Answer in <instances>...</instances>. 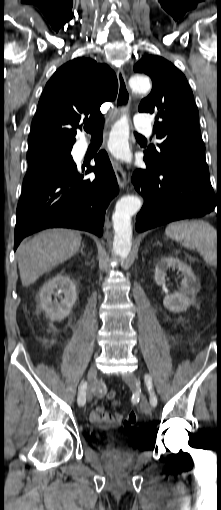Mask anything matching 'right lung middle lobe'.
Returning a JSON list of instances; mask_svg holds the SVG:
<instances>
[{
	"instance_id": "obj_1",
	"label": "right lung middle lobe",
	"mask_w": 221,
	"mask_h": 510,
	"mask_svg": "<svg viewBox=\"0 0 221 510\" xmlns=\"http://www.w3.org/2000/svg\"><path fill=\"white\" fill-rule=\"evenodd\" d=\"M71 149L72 148L44 147L28 152V170L25 177L42 172L69 171L76 165L70 154Z\"/></svg>"
}]
</instances>
